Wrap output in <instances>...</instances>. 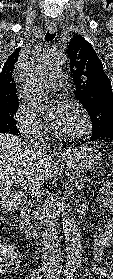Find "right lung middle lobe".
<instances>
[{
    "label": "right lung middle lobe",
    "instance_id": "obj_1",
    "mask_svg": "<svg viewBox=\"0 0 113 279\" xmlns=\"http://www.w3.org/2000/svg\"><path fill=\"white\" fill-rule=\"evenodd\" d=\"M18 104L0 109V133L17 134L18 129L14 114L17 111Z\"/></svg>",
    "mask_w": 113,
    "mask_h": 279
}]
</instances>
